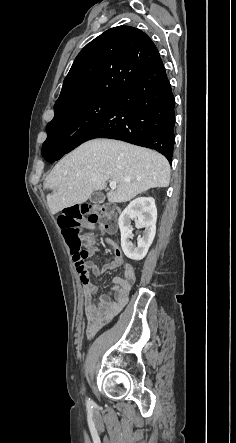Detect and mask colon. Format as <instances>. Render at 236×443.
<instances>
[{
    "label": "colon",
    "instance_id": "colon-1",
    "mask_svg": "<svg viewBox=\"0 0 236 443\" xmlns=\"http://www.w3.org/2000/svg\"><path fill=\"white\" fill-rule=\"evenodd\" d=\"M87 218L89 226H99L102 231H112L116 224V211L110 205L84 203L67 206L58 215V225L68 244L74 265L83 266L91 255L90 248L83 247L88 238L83 233L81 221Z\"/></svg>",
    "mask_w": 236,
    "mask_h": 443
}]
</instances>
